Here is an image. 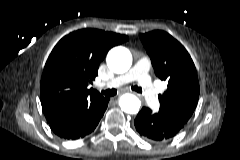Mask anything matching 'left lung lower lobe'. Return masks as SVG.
<instances>
[{
	"label": "left lung lower lobe",
	"mask_w": 240,
	"mask_h": 160,
	"mask_svg": "<svg viewBox=\"0 0 240 160\" xmlns=\"http://www.w3.org/2000/svg\"><path fill=\"white\" fill-rule=\"evenodd\" d=\"M138 133L149 141L161 142L174 137L185 125L163 111L143 107L134 120Z\"/></svg>",
	"instance_id": "1"
}]
</instances>
